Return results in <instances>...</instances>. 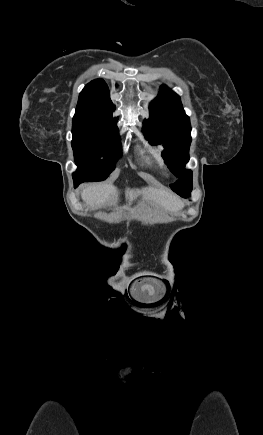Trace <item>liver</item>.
I'll return each instance as SVG.
<instances>
[{
	"label": "liver",
	"instance_id": "1",
	"mask_svg": "<svg viewBox=\"0 0 263 435\" xmlns=\"http://www.w3.org/2000/svg\"><path fill=\"white\" fill-rule=\"evenodd\" d=\"M116 192L117 190L112 184H100L84 188L81 192V197L91 208H98L108 199L114 198ZM140 194H142L144 200H150L153 204H158L169 211L175 212L184 206L178 197L164 190L148 188L145 190L126 191V197L130 200H133Z\"/></svg>",
	"mask_w": 263,
	"mask_h": 435
}]
</instances>
